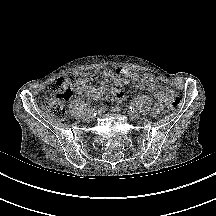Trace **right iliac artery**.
Listing matches in <instances>:
<instances>
[{"label": "right iliac artery", "mask_w": 216, "mask_h": 216, "mask_svg": "<svg viewBox=\"0 0 216 216\" xmlns=\"http://www.w3.org/2000/svg\"><path fill=\"white\" fill-rule=\"evenodd\" d=\"M87 111L90 112V113H93L95 115L96 109L93 106H89Z\"/></svg>", "instance_id": "1"}]
</instances>
